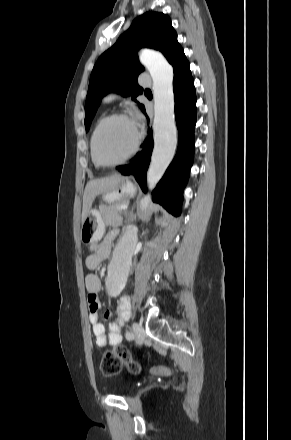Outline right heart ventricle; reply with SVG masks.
Returning a JSON list of instances; mask_svg holds the SVG:
<instances>
[{
	"mask_svg": "<svg viewBox=\"0 0 291 440\" xmlns=\"http://www.w3.org/2000/svg\"><path fill=\"white\" fill-rule=\"evenodd\" d=\"M93 133H94V132H93ZM92 136H93V135H92ZM91 155H92V139H91ZM92 160H93L94 164L97 165L96 162H95L94 159H93V156H92Z\"/></svg>",
	"mask_w": 291,
	"mask_h": 440,
	"instance_id": "1",
	"label": "right heart ventricle"
}]
</instances>
